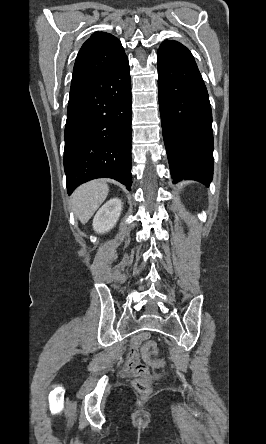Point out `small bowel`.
<instances>
[{
    "mask_svg": "<svg viewBox=\"0 0 266 444\" xmlns=\"http://www.w3.org/2000/svg\"><path fill=\"white\" fill-rule=\"evenodd\" d=\"M123 374L126 376H146L148 374L147 367L140 361V352L137 347H134L128 354Z\"/></svg>",
    "mask_w": 266,
    "mask_h": 444,
    "instance_id": "small-bowel-1",
    "label": "small bowel"
}]
</instances>
